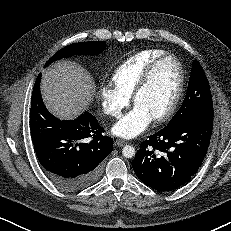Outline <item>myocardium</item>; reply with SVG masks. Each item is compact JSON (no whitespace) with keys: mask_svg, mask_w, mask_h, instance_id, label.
I'll list each match as a JSON object with an SVG mask.
<instances>
[{"mask_svg":"<svg viewBox=\"0 0 231 231\" xmlns=\"http://www.w3.org/2000/svg\"><path fill=\"white\" fill-rule=\"evenodd\" d=\"M166 59H172L176 62L177 67H178V82H177V87H176V90L174 92L173 98H172L169 106L167 107V109L162 114H160L159 116L154 118V121L157 123H160V122H163V121L169 119L174 114V112L178 106V103L180 101V98L182 96L183 89H184V82H185V74H184V68H183L181 61L175 55L170 54V53H164V54L156 57L154 60H152L149 63V65L144 70V72H143V74H142L139 82L137 83V85L133 91V94H132V102H133V104H135L139 95L143 92V90L148 85L156 67L162 61H164Z\"/></svg>","mask_w":231,"mask_h":231,"instance_id":"f54148a6","label":"myocardium"}]
</instances>
